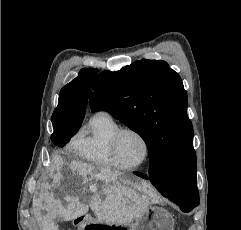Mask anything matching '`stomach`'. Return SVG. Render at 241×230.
<instances>
[{"label":"stomach","instance_id":"stomach-1","mask_svg":"<svg viewBox=\"0 0 241 230\" xmlns=\"http://www.w3.org/2000/svg\"><path fill=\"white\" fill-rule=\"evenodd\" d=\"M117 183H126L120 174ZM79 230H174V219L164 208L149 206L143 215L133 224H118L101 221L99 219L86 218L80 225Z\"/></svg>","mask_w":241,"mask_h":230}]
</instances>
